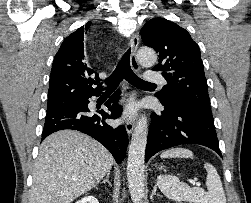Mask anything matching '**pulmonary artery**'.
<instances>
[{"label": "pulmonary artery", "mask_w": 251, "mask_h": 203, "mask_svg": "<svg viewBox=\"0 0 251 203\" xmlns=\"http://www.w3.org/2000/svg\"><path fill=\"white\" fill-rule=\"evenodd\" d=\"M144 79H145V81L150 82V83H158V84H162V85L166 84V80L162 76V74L156 73V72H147L144 75Z\"/></svg>", "instance_id": "e3ab8cb5"}]
</instances>
